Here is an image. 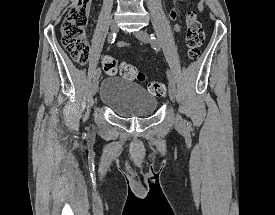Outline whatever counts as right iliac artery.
Returning <instances> with one entry per match:
<instances>
[{"label": "right iliac artery", "instance_id": "1", "mask_svg": "<svg viewBox=\"0 0 275 215\" xmlns=\"http://www.w3.org/2000/svg\"><path fill=\"white\" fill-rule=\"evenodd\" d=\"M115 39H116V33L114 32V33H111L109 36H108V41L110 42V43H114V41H115ZM100 76V68H97L95 71H94V76L96 77V76Z\"/></svg>", "mask_w": 275, "mask_h": 215}]
</instances>
